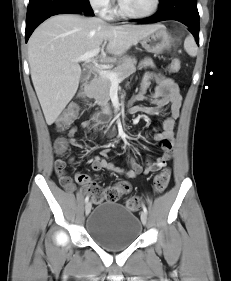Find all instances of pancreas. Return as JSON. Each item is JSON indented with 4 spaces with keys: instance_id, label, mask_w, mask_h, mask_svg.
Instances as JSON below:
<instances>
[{
    "instance_id": "pancreas-1",
    "label": "pancreas",
    "mask_w": 231,
    "mask_h": 281,
    "mask_svg": "<svg viewBox=\"0 0 231 281\" xmlns=\"http://www.w3.org/2000/svg\"><path fill=\"white\" fill-rule=\"evenodd\" d=\"M136 63L137 61L135 58L127 56L121 59L118 65L109 71L117 73L119 75V80H124L135 72ZM110 88L111 81L101 75L96 77L89 87V97L95 99V102L101 107L103 112H110Z\"/></svg>"
}]
</instances>
